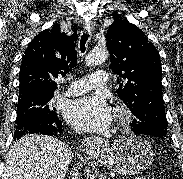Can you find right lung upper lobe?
I'll list each match as a JSON object with an SVG mask.
<instances>
[{
  "label": "right lung upper lobe",
  "instance_id": "obj_1",
  "mask_svg": "<svg viewBox=\"0 0 183 179\" xmlns=\"http://www.w3.org/2000/svg\"><path fill=\"white\" fill-rule=\"evenodd\" d=\"M71 36L58 25L40 32L28 45L19 72V98L54 94L58 76H65L77 65V33Z\"/></svg>",
  "mask_w": 183,
  "mask_h": 179
}]
</instances>
